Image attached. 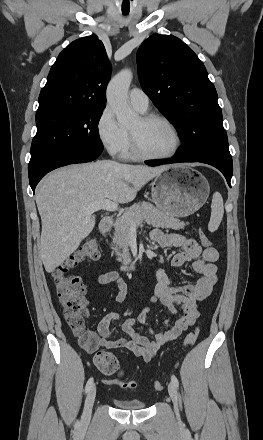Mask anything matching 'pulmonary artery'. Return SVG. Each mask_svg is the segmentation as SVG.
<instances>
[{
  "mask_svg": "<svg viewBox=\"0 0 263 440\" xmlns=\"http://www.w3.org/2000/svg\"><path fill=\"white\" fill-rule=\"evenodd\" d=\"M129 102L136 110L140 112H145L148 109V96L143 90L139 88H133L130 90Z\"/></svg>",
  "mask_w": 263,
  "mask_h": 440,
  "instance_id": "obj_1",
  "label": "pulmonary artery"
}]
</instances>
